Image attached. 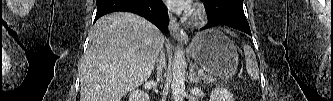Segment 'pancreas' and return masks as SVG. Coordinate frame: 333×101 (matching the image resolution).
Wrapping results in <instances>:
<instances>
[{
    "mask_svg": "<svg viewBox=\"0 0 333 101\" xmlns=\"http://www.w3.org/2000/svg\"><path fill=\"white\" fill-rule=\"evenodd\" d=\"M203 80L207 84H210V83H212L214 81L213 77L211 75H209V74L208 75H204L203 76Z\"/></svg>",
    "mask_w": 333,
    "mask_h": 101,
    "instance_id": "cf45deb5",
    "label": "pancreas"
}]
</instances>
